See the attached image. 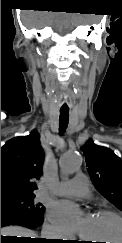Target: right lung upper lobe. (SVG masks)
I'll return each instance as SVG.
<instances>
[{
    "label": "right lung upper lobe",
    "instance_id": "1",
    "mask_svg": "<svg viewBox=\"0 0 122 243\" xmlns=\"http://www.w3.org/2000/svg\"><path fill=\"white\" fill-rule=\"evenodd\" d=\"M43 162L37 131L7 141L1 148V198L34 195L35 179H40L43 173Z\"/></svg>",
    "mask_w": 122,
    "mask_h": 243
}]
</instances>
